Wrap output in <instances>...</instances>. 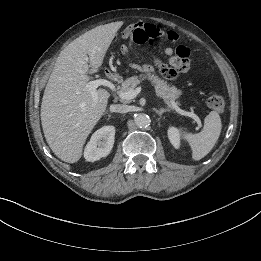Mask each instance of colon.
Returning a JSON list of instances; mask_svg holds the SVG:
<instances>
[{
  "mask_svg": "<svg viewBox=\"0 0 261 261\" xmlns=\"http://www.w3.org/2000/svg\"><path fill=\"white\" fill-rule=\"evenodd\" d=\"M123 28L120 31V38L122 40L132 39L137 44L151 45L155 39L167 41L168 44L173 45L178 40V33L174 30L160 28L148 21L139 22L137 20L125 19L123 21ZM179 52L181 50L179 49ZM155 65L159 68L161 73L171 79L173 71L160 59H155ZM207 106L210 110L222 113L225 110V99L220 95H212L207 99Z\"/></svg>",
  "mask_w": 261,
  "mask_h": 261,
  "instance_id": "colon-1",
  "label": "colon"
}]
</instances>
